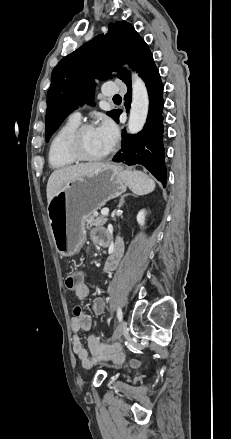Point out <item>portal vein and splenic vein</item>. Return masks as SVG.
<instances>
[{
    "mask_svg": "<svg viewBox=\"0 0 231 439\" xmlns=\"http://www.w3.org/2000/svg\"><path fill=\"white\" fill-rule=\"evenodd\" d=\"M108 213H109V209H108V208H103V209L101 210V214H102L103 216L108 215Z\"/></svg>",
    "mask_w": 231,
    "mask_h": 439,
    "instance_id": "1",
    "label": "portal vein and splenic vein"
}]
</instances>
